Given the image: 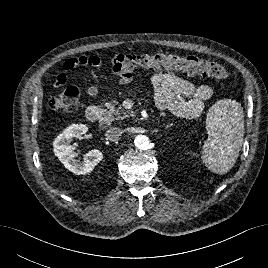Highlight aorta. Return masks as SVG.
Returning a JSON list of instances; mask_svg holds the SVG:
<instances>
[{
  "label": "aorta",
  "mask_w": 268,
  "mask_h": 268,
  "mask_svg": "<svg viewBox=\"0 0 268 268\" xmlns=\"http://www.w3.org/2000/svg\"><path fill=\"white\" fill-rule=\"evenodd\" d=\"M149 143V138L145 135H137L134 138V144L140 150H146L149 146Z\"/></svg>",
  "instance_id": "aorta-1"
}]
</instances>
